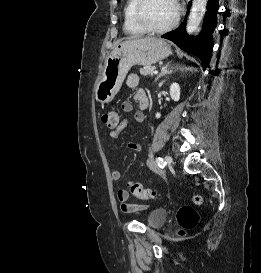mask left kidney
Returning <instances> with one entry per match:
<instances>
[{"mask_svg": "<svg viewBox=\"0 0 261 273\" xmlns=\"http://www.w3.org/2000/svg\"><path fill=\"white\" fill-rule=\"evenodd\" d=\"M170 96L171 99L175 102H178L180 100V86L178 83H173L170 86ZM161 114L160 113H156V118H160Z\"/></svg>", "mask_w": 261, "mask_h": 273, "instance_id": "5707ae66", "label": "left kidney"}]
</instances>
